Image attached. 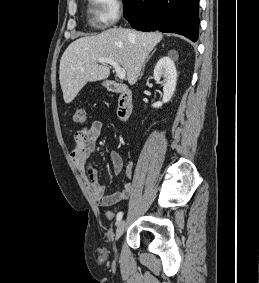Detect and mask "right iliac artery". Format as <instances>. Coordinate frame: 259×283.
Wrapping results in <instances>:
<instances>
[{"label":"right iliac artery","instance_id":"obj_1","mask_svg":"<svg viewBox=\"0 0 259 283\" xmlns=\"http://www.w3.org/2000/svg\"><path fill=\"white\" fill-rule=\"evenodd\" d=\"M122 217H123V212H119V213L117 214V217H116L117 224L121 221Z\"/></svg>","mask_w":259,"mask_h":283}]
</instances>
